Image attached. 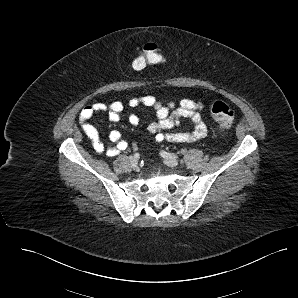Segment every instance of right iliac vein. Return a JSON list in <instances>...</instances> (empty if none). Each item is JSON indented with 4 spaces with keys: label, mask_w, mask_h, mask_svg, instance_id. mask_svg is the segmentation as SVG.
Segmentation results:
<instances>
[{
    "label": "right iliac vein",
    "mask_w": 298,
    "mask_h": 298,
    "mask_svg": "<svg viewBox=\"0 0 298 298\" xmlns=\"http://www.w3.org/2000/svg\"><path fill=\"white\" fill-rule=\"evenodd\" d=\"M129 161L133 166H135L138 163V158L131 156V157H129Z\"/></svg>",
    "instance_id": "63e3f726"
}]
</instances>
